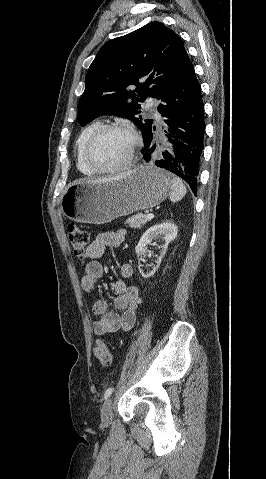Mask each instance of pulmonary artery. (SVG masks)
I'll return each instance as SVG.
<instances>
[{
  "label": "pulmonary artery",
  "mask_w": 266,
  "mask_h": 479,
  "mask_svg": "<svg viewBox=\"0 0 266 479\" xmlns=\"http://www.w3.org/2000/svg\"><path fill=\"white\" fill-rule=\"evenodd\" d=\"M146 110H147V113L149 115H155L156 117L158 116L157 113L155 112L154 108H153V104L151 102L147 103L146 105Z\"/></svg>",
  "instance_id": "pulmonary-artery-1"
}]
</instances>
